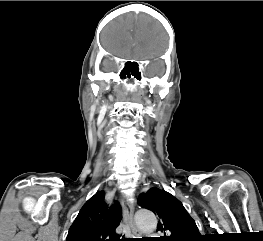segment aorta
<instances>
[{
    "label": "aorta",
    "instance_id": "762f6f07",
    "mask_svg": "<svg viewBox=\"0 0 263 241\" xmlns=\"http://www.w3.org/2000/svg\"><path fill=\"white\" fill-rule=\"evenodd\" d=\"M137 227L146 234L156 230L157 219L154 213L148 209H139L135 214Z\"/></svg>",
    "mask_w": 263,
    "mask_h": 241
}]
</instances>
